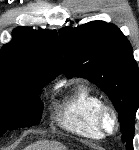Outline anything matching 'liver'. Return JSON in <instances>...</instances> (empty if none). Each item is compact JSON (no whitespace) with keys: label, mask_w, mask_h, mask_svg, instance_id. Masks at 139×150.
Listing matches in <instances>:
<instances>
[{"label":"liver","mask_w":139,"mask_h":150,"mask_svg":"<svg viewBox=\"0 0 139 150\" xmlns=\"http://www.w3.org/2000/svg\"><path fill=\"white\" fill-rule=\"evenodd\" d=\"M28 150H66V147L54 141H41L28 147Z\"/></svg>","instance_id":"1"}]
</instances>
